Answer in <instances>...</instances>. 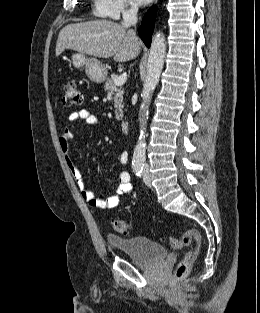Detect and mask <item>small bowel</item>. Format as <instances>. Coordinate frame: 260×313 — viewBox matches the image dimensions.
I'll return each mask as SVG.
<instances>
[{
  "mask_svg": "<svg viewBox=\"0 0 260 313\" xmlns=\"http://www.w3.org/2000/svg\"><path fill=\"white\" fill-rule=\"evenodd\" d=\"M69 121L75 122L83 120L89 126H97L99 124L98 118L89 110L81 109L79 111L72 112L69 117ZM73 138V130L71 128H65L59 135V146L61 152L66 160L67 166L71 172V175L78 187L81 197L90 206L96 209H113L119 202L121 196L130 194L133 190L131 184V176L128 172L122 171L118 175V185L115 193L107 199H101L96 194L87 188L85 181L82 178L80 170L77 168L70 151V141ZM118 162L122 165L127 164L129 156L127 151H121L118 154Z\"/></svg>",
  "mask_w": 260,
  "mask_h": 313,
  "instance_id": "obj_1",
  "label": "small bowel"
}]
</instances>
